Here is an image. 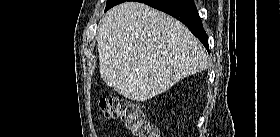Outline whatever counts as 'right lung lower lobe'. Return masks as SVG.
<instances>
[{"mask_svg":"<svg viewBox=\"0 0 280 137\" xmlns=\"http://www.w3.org/2000/svg\"><path fill=\"white\" fill-rule=\"evenodd\" d=\"M145 3L161 10L185 24L208 49V36L203 28L194 0H124Z\"/></svg>","mask_w":280,"mask_h":137,"instance_id":"98d812e1","label":"right lung lower lobe"}]
</instances>
